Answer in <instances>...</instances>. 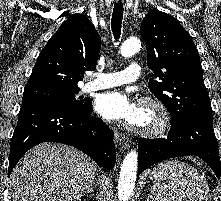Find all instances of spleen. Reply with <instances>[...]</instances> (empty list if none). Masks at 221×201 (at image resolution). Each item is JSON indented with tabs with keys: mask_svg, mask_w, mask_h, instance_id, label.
I'll list each match as a JSON object with an SVG mask.
<instances>
[{
	"mask_svg": "<svg viewBox=\"0 0 221 201\" xmlns=\"http://www.w3.org/2000/svg\"><path fill=\"white\" fill-rule=\"evenodd\" d=\"M152 193L159 201H211L203 177L190 165L179 160L161 162L153 169ZM165 180L161 184L159 180Z\"/></svg>",
	"mask_w": 221,
	"mask_h": 201,
	"instance_id": "1",
	"label": "spleen"
}]
</instances>
